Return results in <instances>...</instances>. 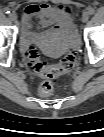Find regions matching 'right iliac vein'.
<instances>
[{
  "label": "right iliac vein",
  "instance_id": "1",
  "mask_svg": "<svg viewBox=\"0 0 104 137\" xmlns=\"http://www.w3.org/2000/svg\"><path fill=\"white\" fill-rule=\"evenodd\" d=\"M9 18L11 21H16L18 16L15 12L10 13Z\"/></svg>",
  "mask_w": 104,
  "mask_h": 137
}]
</instances>
